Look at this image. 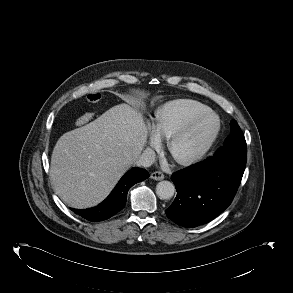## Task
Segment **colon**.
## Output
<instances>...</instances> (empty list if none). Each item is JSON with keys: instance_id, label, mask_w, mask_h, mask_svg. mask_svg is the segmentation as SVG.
<instances>
[{"instance_id": "obj_1", "label": "colon", "mask_w": 293, "mask_h": 293, "mask_svg": "<svg viewBox=\"0 0 293 293\" xmlns=\"http://www.w3.org/2000/svg\"><path fill=\"white\" fill-rule=\"evenodd\" d=\"M101 98V94L97 92L89 93L86 96L87 101L90 103H98L101 101ZM94 116L95 114L93 112H87L76 119V124L79 126L85 125L86 123L91 121L94 118Z\"/></svg>"}]
</instances>
